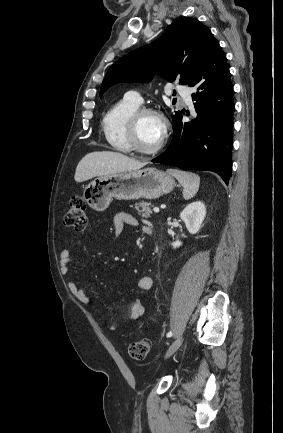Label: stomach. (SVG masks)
<instances>
[{"mask_svg": "<svg viewBox=\"0 0 283 433\" xmlns=\"http://www.w3.org/2000/svg\"><path fill=\"white\" fill-rule=\"evenodd\" d=\"M174 184V178L158 168L124 170V172L97 176L85 186L83 196L91 208L105 210L113 196L120 200H133V198L152 200L161 194L171 192Z\"/></svg>", "mask_w": 283, "mask_h": 433, "instance_id": "1", "label": "stomach"}]
</instances>
